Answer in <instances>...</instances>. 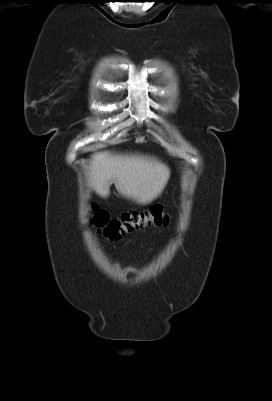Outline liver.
<instances>
[{
  "label": "liver",
  "mask_w": 272,
  "mask_h": 401,
  "mask_svg": "<svg viewBox=\"0 0 272 401\" xmlns=\"http://www.w3.org/2000/svg\"><path fill=\"white\" fill-rule=\"evenodd\" d=\"M169 177V168L153 157L102 151L92 155L89 185L107 197L114 184L121 195L146 204L162 193Z\"/></svg>",
  "instance_id": "1"
}]
</instances>
